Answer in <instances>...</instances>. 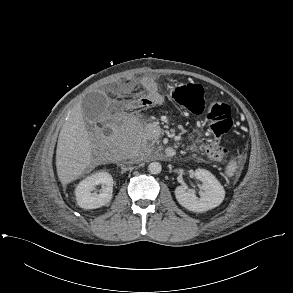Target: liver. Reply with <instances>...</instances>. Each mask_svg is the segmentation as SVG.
<instances>
[{
  "mask_svg": "<svg viewBox=\"0 0 293 293\" xmlns=\"http://www.w3.org/2000/svg\"><path fill=\"white\" fill-rule=\"evenodd\" d=\"M91 163V141L79 103L71 110L59 134L56 150L58 178L62 184H68L81 176Z\"/></svg>",
  "mask_w": 293,
  "mask_h": 293,
  "instance_id": "6515ba94",
  "label": "liver"
}]
</instances>
